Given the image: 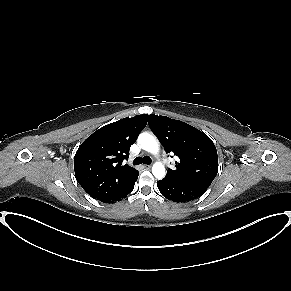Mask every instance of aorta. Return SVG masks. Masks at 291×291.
Listing matches in <instances>:
<instances>
[{
    "label": "aorta",
    "mask_w": 291,
    "mask_h": 291,
    "mask_svg": "<svg viewBox=\"0 0 291 291\" xmlns=\"http://www.w3.org/2000/svg\"><path fill=\"white\" fill-rule=\"evenodd\" d=\"M138 142L142 148L150 153L157 154L159 151V145L157 140L149 133H141L138 136ZM152 173L157 179L165 177V167L162 163L156 162L152 167Z\"/></svg>",
    "instance_id": "1"
}]
</instances>
